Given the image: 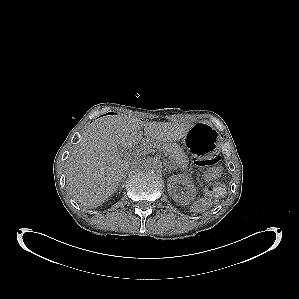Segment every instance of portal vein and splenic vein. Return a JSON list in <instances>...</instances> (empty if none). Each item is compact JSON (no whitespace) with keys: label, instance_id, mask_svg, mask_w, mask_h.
Instances as JSON below:
<instances>
[{"label":"portal vein and splenic vein","instance_id":"1","mask_svg":"<svg viewBox=\"0 0 299 299\" xmlns=\"http://www.w3.org/2000/svg\"><path fill=\"white\" fill-rule=\"evenodd\" d=\"M142 150H143V148H139V149H137V152L140 153Z\"/></svg>","mask_w":299,"mask_h":299}]
</instances>
